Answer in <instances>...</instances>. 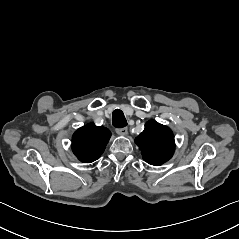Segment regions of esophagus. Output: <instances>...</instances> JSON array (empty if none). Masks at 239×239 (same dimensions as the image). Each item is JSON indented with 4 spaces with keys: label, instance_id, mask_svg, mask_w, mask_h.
I'll list each match as a JSON object with an SVG mask.
<instances>
[{
    "label": "esophagus",
    "instance_id": "obj_1",
    "mask_svg": "<svg viewBox=\"0 0 239 239\" xmlns=\"http://www.w3.org/2000/svg\"><path fill=\"white\" fill-rule=\"evenodd\" d=\"M116 133L118 135L124 136V135H127L128 129L126 127H123V128H120V129H116Z\"/></svg>",
    "mask_w": 239,
    "mask_h": 239
}]
</instances>
